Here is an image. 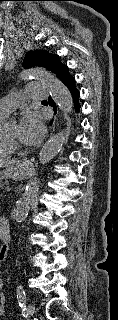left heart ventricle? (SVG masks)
Instances as JSON below:
<instances>
[{
    "label": "left heart ventricle",
    "mask_w": 118,
    "mask_h": 320,
    "mask_svg": "<svg viewBox=\"0 0 118 320\" xmlns=\"http://www.w3.org/2000/svg\"><path fill=\"white\" fill-rule=\"evenodd\" d=\"M4 133L12 141H14L20 145L23 144V142L21 141L20 136H19V129H18L17 124H14V123L7 124L4 128Z\"/></svg>",
    "instance_id": "left-heart-ventricle-1"
}]
</instances>
